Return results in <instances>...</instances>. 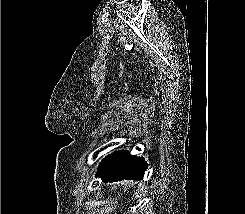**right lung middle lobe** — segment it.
Returning a JSON list of instances; mask_svg holds the SVG:
<instances>
[{
  "mask_svg": "<svg viewBox=\"0 0 245 214\" xmlns=\"http://www.w3.org/2000/svg\"><path fill=\"white\" fill-rule=\"evenodd\" d=\"M119 158H120L119 152H114L111 155L105 157L102 160V162L99 164L98 173L96 175L108 173L116 169L118 167Z\"/></svg>",
  "mask_w": 245,
  "mask_h": 214,
  "instance_id": "dd1d6c3e",
  "label": "right lung middle lobe"
}]
</instances>
